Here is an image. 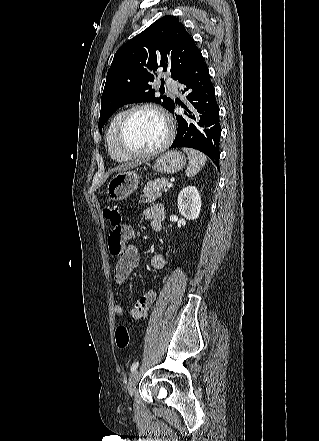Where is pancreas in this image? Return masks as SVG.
Segmentation results:
<instances>
[{"label": "pancreas", "instance_id": "cf45deb5", "mask_svg": "<svg viewBox=\"0 0 319 441\" xmlns=\"http://www.w3.org/2000/svg\"><path fill=\"white\" fill-rule=\"evenodd\" d=\"M168 178H157L149 181L143 189L139 203H151L160 198L163 192H167Z\"/></svg>", "mask_w": 319, "mask_h": 441}]
</instances>
